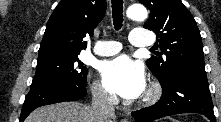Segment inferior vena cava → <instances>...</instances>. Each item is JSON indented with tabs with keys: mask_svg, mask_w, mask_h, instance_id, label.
I'll list each match as a JSON object with an SVG mask.
<instances>
[{
	"mask_svg": "<svg viewBox=\"0 0 221 122\" xmlns=\"http://www.w3.org/2000/svg\"><path fill=\"white\" fill-rule=\"evenodd\" d=\"M92 94V109L95 122H110L115 117L113 107L114 96L108 94L100 87L94 88Z\"/></svg>",
	"mask_w": 221,
	"mask_h": 122,
	"instance_id": "inferior-vena-cava-1",
	"label": "inferior vena cava"
}]
</instances>
